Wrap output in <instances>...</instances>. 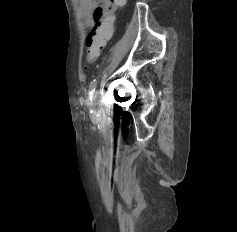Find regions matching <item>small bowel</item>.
Listing matches in <instances>:
<instances>
[{"label":"small bowel","mask_w":237,"mask_h":232,"mask_svg":"<svg viewBox=\"0 0 237 232\" xmlns=\"http://www.w3.org/2000/svg\"><path fill=\"white\" fill-rule=\"evenodd\" d=\"M116 0H80L81 13L87 27L105 19L117 8Z\"/></svg>","instance_id":"1"}]
</instances>
